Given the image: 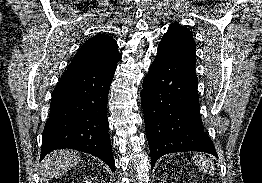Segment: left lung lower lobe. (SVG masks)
Listing matches in <instances>:
<instances>
[{
    "mask_svg": "<svg viewBox=\"0 0 262 183\" xmlns=\"http://www.w3.org/2000/svg\"><path fill=\"white\" fill-rule=\"evenodd\" d=\"M141 91L151 167L163 155L199 151L218 157L200 116L195 64L157 52Z\"/></svg>",
    "mask_w": 262,
    "mask_h": 183,
    "instance_id": "obj_1",
    "label": "left lung lower lobe"
}]
</instances>
